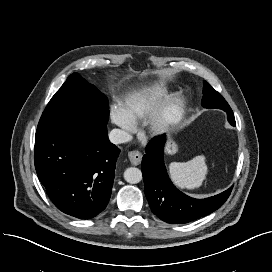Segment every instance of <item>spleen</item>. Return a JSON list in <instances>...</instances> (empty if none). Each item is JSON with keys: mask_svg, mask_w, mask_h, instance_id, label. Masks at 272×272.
Returning a JSON list of instances; mask_svg holds the SVG:
<instances>
[{"mask_svg": "<svg viewBox=\"0 0 272 272\" xmlns=\"http://www.w3.org/2000/svg\"><path fill=\"white\" fill-rule=\"evenodd\" d=\"M208 167L204 155L196 156L187 162L169 164V174L173 183L180 189H195L206 179Z\"/></svg>", "mask_w": 272, "mask_h": 272, "instance_id": "1", "label": "spleen"}]
</instances>
